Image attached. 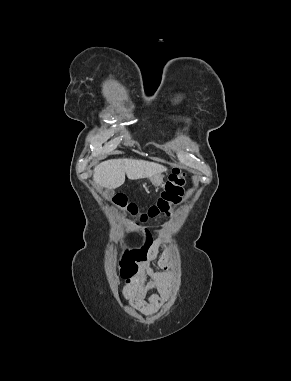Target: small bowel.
I'll use <instances>...</instances> for the list:
<instances>
[{
    "instance_id": "small-bowel-1",
    "label": "small bowel",
    "mask_w": 291,
    "mask_h": 381,
    "mask_svg": "<svg viewBox=\"0 0 291 381\" xmlns=\"http://www.w3.org/2000/svg\"><path fill=\"white\" fill-rule=\"evenodd\" d=\"M162 240L147 241L140 250L137 271L125 280L122 294L128 304L144 314L156 313L168 298L172 276L168 272L169 250L159 252ZM156 261L159 270L152 267Z\"/></svg>"
}]
</instances>
